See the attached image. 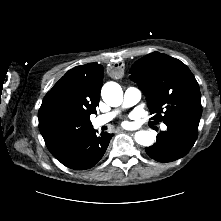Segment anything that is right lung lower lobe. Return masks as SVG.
Returning <instances> with one entry per match:
<instances>
[{"label": "right lung lower lobe", "instance_id": "98d812e1", "mask_svg": "<svg viewBox=\"0 0 221 221\" xmlns=\"http://www.w3.org/2000/svg\"><path fill=\"white\" fill-rule=\"evenodd\" d=\"M113 134L102 132L96 135L94 129L79 138L69 148L54 156L63 165L75 170L92 168L103 157Z\"/></svg>", "mask_w": 221, "mask_h": 221}]
</instances>
